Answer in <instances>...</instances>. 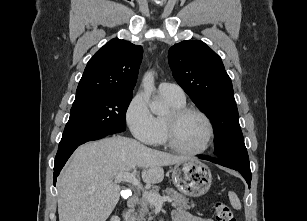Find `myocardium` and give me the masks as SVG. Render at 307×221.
Segmentation results:
<instances>
[{
	"label": "myocardium",
	"instance_id": "1",
	"mask_svg": "<svg viewBox=\"0 0 307 221\" xmlns=\"http://www.w3.org/2000/svg\"><path fill=\"white\" fill-rule=\"evenodd\" d=\"M188 114H196L200 116L207 125V139L204 146L197 150H186L181 148L175 142V129L177 122L184 116ZM165 127V144L174 152L187 155V156H197L207 152L214 141L215 130L214 124L211 118L202 110L196 107L183 106L178 108H173L168 116L164 119Z\"/></svg>",
	"mask_w": 307,
	"mask_h": 221
}]
</instances>
